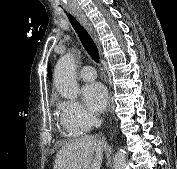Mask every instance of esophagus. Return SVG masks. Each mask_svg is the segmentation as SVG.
<instances>
[{"label":"esophagus","mask_w":177,"mask_h":169,"mask_svg":"<svg viewBox=\"0 0 177 169\" xmlns=\"http://www.w3.org/2000/svg\"><path fill=\"white\" fill-rule=\"evenodd\" d=\"M70 11L76 18L79 20V22L93 35L96 42H98V39L96 37V34L94 33L91 24L87 17L84 15L83 11L78 5H75L73 7H70Z\"/></svg>","instance_id":"obj_1"}]
</instances>
